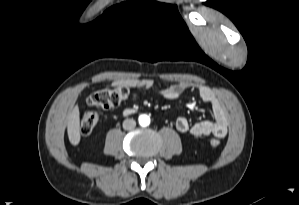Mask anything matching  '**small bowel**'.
I'll return each mask as SVG.
<instances>
[{
  "label": "small bowel",
  "mask_w": 299,
  "mask_h": 205,
  "mask_svg": "<svg viewBox=\"0 0 299 205\" xmlns=\"http://www.w3.org/2000/svg\"><path fill=\"white\" fill-rule=\"evenodd\" d=\"M120 83H127L130 87L137 88L140 91L150 90L155 86L154 80L150 78H131L125 81H115L113 82V86ZM187 89H196L201 99L211 104L214 119L212 121L201 120L192 124L186 117H179L175 122L176 129L181 133H189L196 137L211 134L217 137H224L227 134L229 125L228 111L225 104L211 88L183 80L162 87L158 92L165 99L174 100L179 98ZM138 96V93L134 94L135 99Z\"/></svg>",
  "instance_id": "c3829d8e"
}]
</instances>
